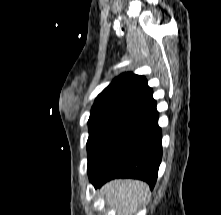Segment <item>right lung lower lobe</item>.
I'll return each instance as SVG.
<instances>
[{"mask_svg":"<svg viewBox=\"0 0 221 215\" xmlns=\"http://www.w3.org/2000/svg\"><path fill=\"white\" fill-rule=\"evenodd\" d=\"M158 117L153 102L122 124L88 168L95 188L114 178H135L146 181L153 189L162 158Z\"/></svg>","mask_w":221,"mask_h":215,"instance_id":"1","label":"right lung lower lobe"}]
</instances>
